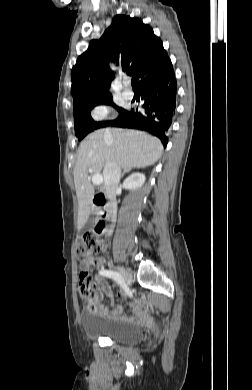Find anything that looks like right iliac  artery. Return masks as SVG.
Here are the masks:
<instances>
[{
    "instance_id": "right-iliac-artery-1",
    "label": "right iliac artery",
    "mask_w": 252,
    "mask_h": 390,
    "mask_svg": "<svg viewBox=\"0 0 252 390\" xmlns=\"http://www.w3.org/2000/svg\"><path fill=\"white\" fill-rule=\"evenodd\" d=\"M99 273L105 277L113 279L114 281H118L119 286H121L122 289L125 290L129 298L130 299L134 298V292L131 291L130 286L127 285V283L125 282V277L122 276L121 273H118L113 270H107V269H101Z\"/></svg>"
}]
</instances>
